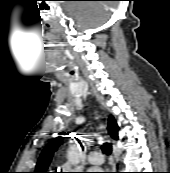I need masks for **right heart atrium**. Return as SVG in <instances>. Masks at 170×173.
<instances>
[{"mask_svg":"<svg viewBox=\"0 0 170 173\" xmlns=\"http://www.w3.org/2000/svg\"><path fill=\"white\" fill-rule=\"evenodd\" d=\"M64 169H68V167H64ZM64 173H72V172L65 170Z\"/></svg>","mask_w":170,"mask_h":173,"instance_id":"obj_1","label":"right heart atrium"}]
</instances>
